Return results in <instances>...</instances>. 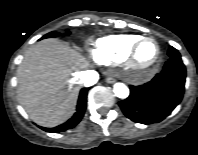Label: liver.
I'll use <instances>...</instances> for the list:
<instances>
[{
	"instance_id": "liver-1",
	"label": "liver",
	"mask_w": 198,
	"mask_h": 155,
	"mask_svg": "<svg viewBox=\"0 0 198 155\" xmlns=\"http://www.w3.org/2000/svg\"><path fill=\"white\" fill-rule=\"evenodd\" d=\"M86 64L75 50L57 40L33 46L17 70L18 101L39 125L54 127L75 110L78 70Z\"/></svg>"
}]
</instances>
